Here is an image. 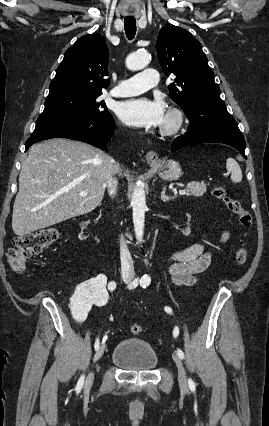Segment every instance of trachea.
Instances as JSON below:
<instances>
[{
	"label": "trachea",
	"mask_w": 269,
	"mask_h": 426,
	"mask_svg": "<svg viewBox=\"0 0 269 426\" xmlns=\"http://www.w3.org/2000/svg\"><path fill=\"white\" fill-rule=\"evenodd\" d=\"M124 28L126 32V36L129 40H132L136 34V20L135 18H125L124 20Z\"/></svg>",
	"instance_id": "obj_1"
}]
</instances>
